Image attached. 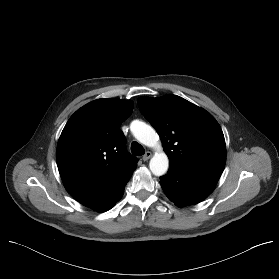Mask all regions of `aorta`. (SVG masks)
<instances>
[{"label": "aorta", "mask_w": 279, "mask_h": 279, "mask_svg": "<svg viewBox=\"0 0 279 279\" xmlns=\"http://www.w3.org/2000/svg\"><path fill=\"white\" fill-rule=\"evenodd\" d=\"M130 129L139 142L159 150L151 158L149 168L155 176L164 175L168 170L169 160L167 155L161 150L156 131L150 125L138 120L131 123Z\"/></svg>", "instance_id": "762f6f07"}]
</instances>
